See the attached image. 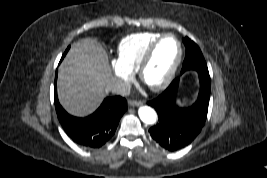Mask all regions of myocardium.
Wrapping results in <instances>:
<instances>
[{
  "instance_id": "1",
  "label": "myocardium",
  "mask_w": 267,
  "mask_h": 178,
  "mask_svg": "<svg viewBox=\"0 0 267 178\" xmlns=\"http://www.w3.org/2000/svg\"><path fill=\"white\" fill-rule=\"evenodd\" d=\"M173 38L178 45V55L176 57V60L173 64V66L171 67L170 71L168 72L167 76L158 84L156 85H147L145 83L144 80V72L148 66V64L150 63L155 50L157 49V47L159 46V44L165 39V38ZM183 58V46L181 41L179 40V38L177 36H175L174 34L171 33H167V34H163L161 35L159 38H157L146 50V52L144 53L142 59L140 60V63L138 65V69H137V73H138V77L141 80V82H143L145 85L148 86V88L154 92L157 91H161L163 89H165L174 79L178 68L181 64Z\"/></svg>"
}]
</instances>
